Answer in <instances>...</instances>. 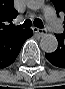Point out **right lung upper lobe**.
Returning a JSON list of instances; mask_svg holds the SVG:
<instances>
[{
    "instance_id": "obj_1",
    "label": "right lung upper lobe",
    "mask_w": 65,
    "mask_h": 89,
    "mask_svg": "<svg viewBox=\"0 0 65 89\" xmlns=\"http://www.w3.org/2000/svg\"><path fill=\"white\" fill-rule=\"evenodd\" d=\"M17 14L12 0H0V37L22 30L12 24V19L16 18Z\"/></svg>"
}]
</instances>
